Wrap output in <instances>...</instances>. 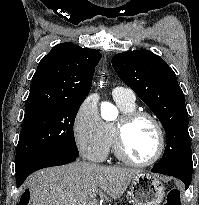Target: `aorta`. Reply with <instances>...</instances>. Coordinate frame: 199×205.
I'll return each mask as SVG.
<instances>
[{"label": "aorta", "mask_w": 199, "mask_h": 205, "mask_svg": "<svg viewBox=\"0 0 199 205\" xmlns=\"http://www.w3.org/2000/svg\"><path fill=\"white\" fill-rule=\"evenodd\" d=\"M110 108H112V106H111L110 104H108V103L104 104V105L102 106V115L104 116V115H105V112H106L108 109H110Z\"/></svg>", "instance_id": "obj_1"}]
</instances>
